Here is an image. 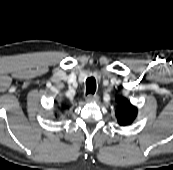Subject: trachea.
<instances>
[{
  "mask_svg": "<svg viewBox=\"0 0 173 170\" xmlns=\"http://www.w3.org/2000/svg\"><path fill=\"white\" fill-rule=\"evenodd\" d=\"M96 91V80L94 77H89L86 80V94H94Z\"/></svg>",
  "mask_w": 173,
  "mask_h": 170,
  "instance_id": "3493384b",
  "label": "trachea"
}]
</instances>
